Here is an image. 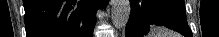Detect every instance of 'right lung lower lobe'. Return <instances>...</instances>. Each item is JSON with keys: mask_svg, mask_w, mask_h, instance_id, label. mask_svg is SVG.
<instances>
[{"mask_svg": "<svg viewBox=\"0 0 219 37\" xmlns=\"http://www.w3.org/2000/svg\"><path fill=\"white\" fill-rule=\"evenodd\" d=\"M26 37H93L108 0H24Z\"/></svg>", "mask_w": 219, "mask_h": 37, "instance_id": "98d812e1", "label": "right lung lower lobe"}]
</instances>
